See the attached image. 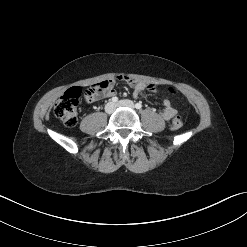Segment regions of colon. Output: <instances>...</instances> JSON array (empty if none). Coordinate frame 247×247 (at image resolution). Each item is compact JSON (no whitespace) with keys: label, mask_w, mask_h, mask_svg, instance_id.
Returning a JSON list of instances; mask_svg holds the SVG:
<instances>
[{"label":"colon","mask_w":247,"mask_h":247,"mask_svg":"<svg viewBox=\"0 0 247 247\" xmlns=\"http://www.w3.org/2000/svg\"><path fill=\"white\" fill-rule=\"evenodd\" d=\"M108 87L109 80L94 84L87 89V97L93 98L106 90ZM167 92L170 94L176 93L175 90L171 87L167 88ZM80 96L81 89L78 87H73L67 90L56 102L54 107V114L64 125L69 127L75 125L78 116ZM182 126V116H175L171 122V129L179 130Z\"/></svg>","instance_id":"colon-1"}]
</instances>
